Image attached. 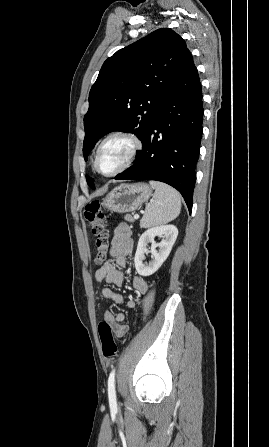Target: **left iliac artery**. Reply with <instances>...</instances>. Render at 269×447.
<instances>
[{
  "label": "left iliac artery",
  "instance_id": "44dca946",
  "mask_svg": "<svg viewBox=\"0 0 269 447\" xmlns=\"http://www.w3.org/2000/svg\"><path fill=\"white\" fill-rule=\"evenodd\" d=\"M108 397L110 407H117L116 392H115V369L110 373L108 379Z\"/></svg>",
  "mask_w": 269,
  "mask_h": 447
}]
</instances>
